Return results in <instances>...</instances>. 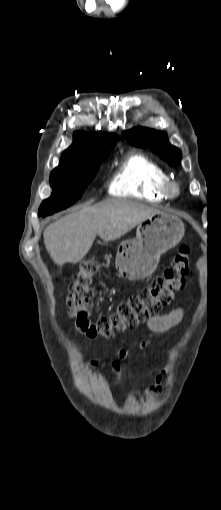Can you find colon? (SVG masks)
<instances>
[{
	"label": "colon",
	"instance_id": "5ec220e1",
	"mask_svg": "<svg viewBox=\"0 0 221 510\" xmlns=\"http://www.w3.org/2000/svg\"><path fill=\"white\" fill-rule=\"evenodd\" d=\"M190 268V248L180 247L163 276L156 278L144 289L120 305L116 312L92 321L93 282L99 271L96 259L83 260L74 274L68 298L69 315L75 330L88 339H112L118 332L133 329L158 314L173 299L174 291L182 289Z\"/></svg>",
	"mask_w": 221,
	"mask_h": 510
}]
</instances>
